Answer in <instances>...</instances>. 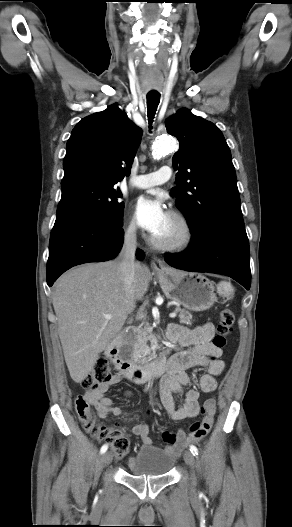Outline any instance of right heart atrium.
Returning a JSON list of instances; mask_svg holds the SVG:
<instances>
[{
	"instance_id": "d8ad5b80",
	"label": "right heart atrium",
	"mask_w": 292,
	"mask_h": 527,
	"mask_svg": "<svg viewBox=\"0 0 292 527\" xmlns=\"http://www.w3.org/2000/svg\"><path fill=\"white\" fill-rule=\"evenodd\" d=\"M136 232H137L136 224L134 220L131 219L126 226L125 235L126 237L132 239L135 237Z\"/></svg>"
}]
</instances>
